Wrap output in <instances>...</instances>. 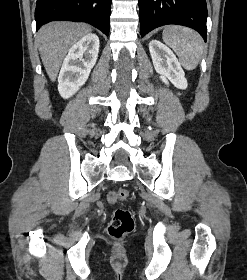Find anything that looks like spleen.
I'll list each match as a JSON object with an SVG mask.
<instances>
[{"instance_id":"spleen-1","label":"spleen","mask_w":247,"mask_h":280,"mask_svg":"<svg viewBox=\"0 0 247 280\" xmlns=\"http://www.w3.org/2000/svg\"><path fill=\"white\" fill-rule=\"evenodd\" d=\"M163 41L177 54L186 70L197 67L203 52L202 38L188 27L170 25L164 28Z\"/></svg>"}]
</instances>
